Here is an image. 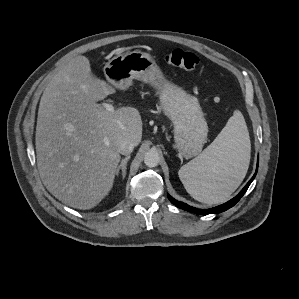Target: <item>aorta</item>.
<instances>
[{
    "label": "aorta",
    "instance_id": "obj_1",
    "mask_svg": "<svg viewBox=\"0 0 299 299\" xmlns=\"http://www.w3.org/2000/svg\"><path fill=\"white\" fill-rule=\"evenodd\" d=\"M160 157L156 151H149L145 154L144 163L148 167H156L159 164Z\"/></svg>",
    "mask_w": 299,
    "mask_h": 299
}]
</instances>
